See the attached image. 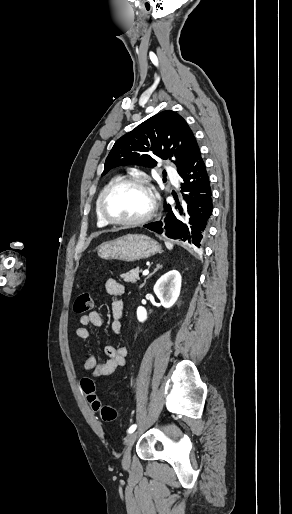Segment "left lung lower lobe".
I'll list each match as a JSON object with an SVG mask.
<instances>
[{"label": "left lung lower lobe", "mask_w": 292, "mask_h": 514, "mask_svg": "<svg viewBox=\"0 0 292 514\" xmlns=\"http://www.w3.org/2000/svg\"><path fill=\"white\" fill-rule=\"evenodd\" d=\"M178 173L183 180L182 197L174 195L176 205L164 203L160 220L144 227L200 248L207 236L213 200L209 176L196 139Z\"/></svg>", "instance_id": "left-lung-lower-lobe-1"}]
</instances>
